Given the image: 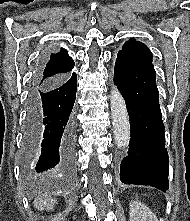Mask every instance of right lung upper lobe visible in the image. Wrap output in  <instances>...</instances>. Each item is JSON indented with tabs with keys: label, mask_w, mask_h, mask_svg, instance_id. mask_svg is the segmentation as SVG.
<instances>
[{
	"label": "right lung upper lobe",
	"mask_w": 190,
	"mask_h": 221,
	"mask_svg": "<svg viewBox=\"0 0 190 221\" xmlns=\"http://www.w3.org/2000/svg\"><path fill=\"white\" fill-rule=\"evenodd\" d=\"M73 67V59L66 49L61 48L58 53L51 54L45 67L39 71L37 81L39 84H44L64 80L71 75Z\"/></svg>",
	"instance_id": "1"
}]
</instances>
